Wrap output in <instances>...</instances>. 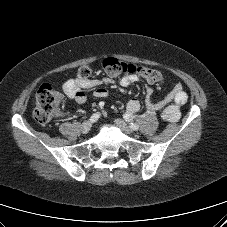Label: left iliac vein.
I'll use <instances>...</instances> for the list:
<instances>
[{
	"label": "left iliac vein",
	"mask_w": 227,
	"mask_h": 227,
	"mask_svg": "<svg viewBox=\"0 0 227 227\" xmlns=\"http://www.w3.org/2000/svg\"><path fill=\"white\" fill-rule=\"evenodd\" d=\"M115 124L126 134L133 133V129L130 126H128L123 120L115 119Z\"/></svg>",
	"instance_id": "left-iliac-vein-1"
}]
</instances>
